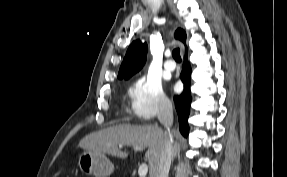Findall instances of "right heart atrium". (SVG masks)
I'll return each mask as SVG.
<instances>
[{
  "instance_id": "right-heart-atrium-1",
  "label": "right heart atrium",
  "mask_w": 287,
  "mask_h": 177,
  "mask_svg": "<svg viewBox=\"0 0 287 177\" xmlns=\"http://www.w3.org/2000/svg\"><path fill=\"white\" fill-rule=\"evenodd\" d=\"M128 95L133 111L146 122L164 114L169 108L162 82L152 74L143 75L133 81L128 88Z\"/></svg>"
}]
</instances>
